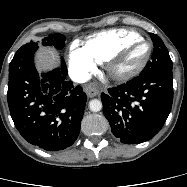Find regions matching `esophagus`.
Segmentation results:
<instances>
[{
    "instance_id": "obj_1",
    "label": "esophagus",
    "mask_w": 187,
    "mask_h": 187,
    "mask_svg": "<svg viewBox=\"0 0 187 187\" xmlns=\"http://www.w3.org/2000/svg\"><path fill=\"white\" fill-rule=\"evenodd\" d=\"M84 90L87 96L90 98H93L99 94V90L90 84L86 85Z\"/></svg>"
}]
</instances>
